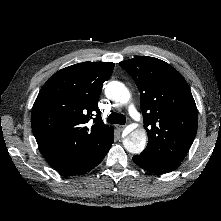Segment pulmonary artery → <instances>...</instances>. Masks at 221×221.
<instances>
[{
  "label": "pulmonary artery",
  "mask_w": 221,
  "mask_h": 221,
  "mask_svg": "<svg viewBox=\"0 0 221 221\" xmlns=\"http://www.w3.org/2000/svg\"><path fill=\"white\" fill-rule=\"evenodd\" d=\"M129 113L130 115L134 118V119H138L139 118V114L138 112L136 111L135 107L133 105H131L129 107Z\"/></svg>",
  "instance_id": "e3ab8cb5"
}]
</instances>
